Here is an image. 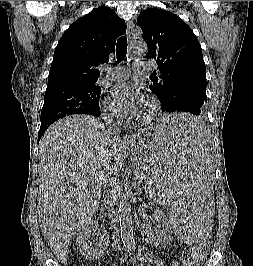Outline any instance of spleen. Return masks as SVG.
Here are the masks:
<instances>
[{
	"mask_svg": "<svg viewBox=\"0 0 253 266\" xmlns=\"http://www.w3.org/2000/svg\"><path fill=\"white\" fill-rule=\"evenodd\" d=\"M159 145L148 161L145 186L151 198L169 210V226L181 248H206L216 235L215 208L209 189L210 135L193 111H171L156 117Z\"/></svg>",
	"mask_w": 253,
	"mask_h": 266,
	"instance_id": "1",
	"label": "spleen"
}]
</instances>
